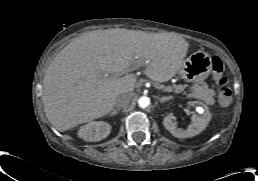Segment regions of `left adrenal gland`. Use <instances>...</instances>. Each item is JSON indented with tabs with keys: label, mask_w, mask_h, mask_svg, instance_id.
I'll list each match as a JSON object with an SVG mask.
<instances>
[{
	"label": "left adrenal gland",
	"mask_w": 258,
	"mask_h": 181,
	"mask_svg": "<svg viewBox=\"0 0 258 181\" xmlns=\"http://www.w3.org/2000/svg\"><path fill=\"white\" fill-rule=\"evenodd\" d=\"M171 98H172V96H168V97L158 98V100H159L161 103H163V102H165V101L170 100Z\"/></svg>",
	"instance_id": "obj_1"
}]
</instances>
